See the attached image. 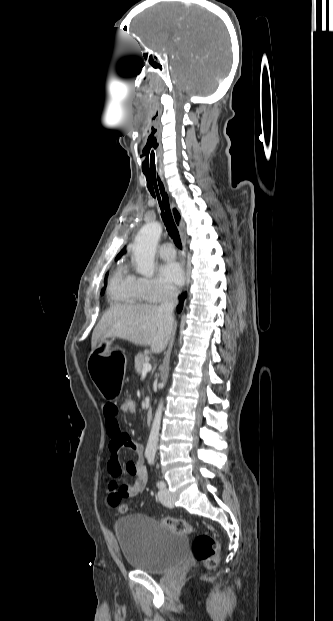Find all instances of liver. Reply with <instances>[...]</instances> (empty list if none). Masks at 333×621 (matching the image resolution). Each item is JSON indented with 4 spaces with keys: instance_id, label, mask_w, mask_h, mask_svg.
<instances>
[{
    "instance_id": "1",
    "label": "liver",
    "mask_w": 333,
    "mask_h": 621,
    "mask_svg": "<svg viewBox=\"0 0 333 621\" xmlns=\"http://www.w3.org/2000/svg\"><path fill=\"white\" fill-rule=\"evenodd\" d=\"M174 325L156 305L136 304L111 307L95 327L91 347L108 338H121L135 345L151 346L154 353L163 352Z\"/></svg>"
}]
</instances>
